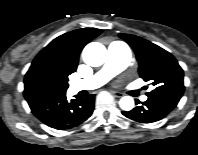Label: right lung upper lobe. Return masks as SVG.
I'll return each mask as SVG.
<instances>
[{
	"label": "right lung upper lobe",
	"instance_id": "1",
	"mask_svg": "<svg viewBox=\"0 0 198 155\" xmlns=\"http://www.w3.org/2000/svg\"><path fill=\"white\" fill-rule=\"evenodd\" d=\"M101 33L100 29L82 28L65 33L50 42L33 60L24 79L27 101L48 95L40 85V78L50 74L67 76L76 71L83 47Z\"/></svg>",
	"mask_w": 198,
	"mask_h": 155
}]
</instances>
